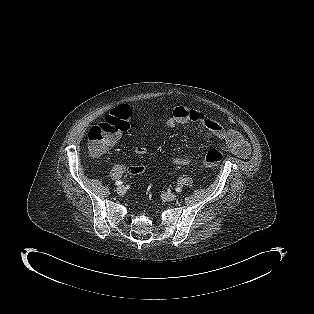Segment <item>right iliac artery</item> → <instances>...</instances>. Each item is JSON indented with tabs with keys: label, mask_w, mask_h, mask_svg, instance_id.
<instances>
[{
	"label": "right iliac artery",
	"mask_w": 314,
	"mask_h": 314,
	"mask_svg": "<svg viewBox=\"0 0 314 314\" xmlns=\"http://www.w3.org/2000/svg\"><path fill=\"white\" fill-rule=\"evenodd\" d=\"M123 182L122 181H116L115 185H121Z\"/></svg>",
	"instance_id": "obj_1"
}]
</instances>
